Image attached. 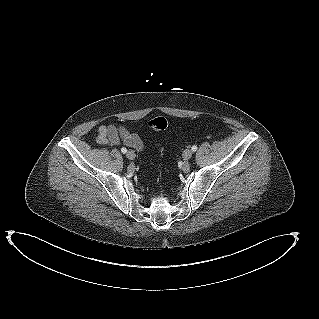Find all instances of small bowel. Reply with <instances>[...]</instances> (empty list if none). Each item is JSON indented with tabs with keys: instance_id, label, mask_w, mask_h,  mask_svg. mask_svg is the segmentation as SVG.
<instances>
[{
	"instance_id": "obj_1",
	"label": "small bowel",
	"mask_w": 319,
	"mask_h": 319,
	"mask_svg": "<svg viewBox=\"0 0 319 319\" xmlns=\"http://www.w3.org/2000/svg\"><path fill=\"white\" fill-rule=\"evenodd\" d=\"M99 144L111 143L113 145L124 144L136 150H142L144 147L139 135L130 133L121 126L109 125L102 126L97 137Z\"/></svg>"
}]
</instances>
